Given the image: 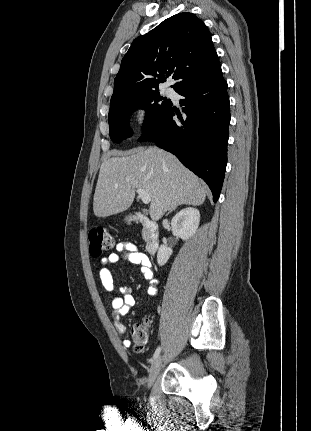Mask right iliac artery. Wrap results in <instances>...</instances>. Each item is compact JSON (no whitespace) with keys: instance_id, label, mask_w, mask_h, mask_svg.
<instances>
[{"instance_id":"82829eb1","label":"right iliac artery","mask_w":311,"mask_h":431,"mask_svg":"<svg viewBox=\"0 0 311 431\" xmlns=\"http://www.w3.org/2000/svg\"><path fill=\"white\" fill-rule=\"evenodd\" d=\"M160 350H161V347L159 346L153 355L152 362L155 361L156 358L159 356Z\"/></svg>"}]
</instances>
